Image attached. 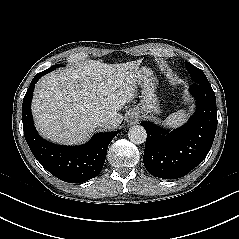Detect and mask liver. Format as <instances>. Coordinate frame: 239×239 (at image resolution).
Listing matches in <instances>:
<instances>
[{
  "instance_id": "liver-1",
  "label": "liver",
  "mask_w": 239,
  "mask_h": 239,
  "mask_svg": "<svg viewBox=\"0 0 239 239\" xmlns=\"http://www.w3.org/2000/svg\"><path fill=\"white\" fill-rule=\"evenodd\" d=\"M140 62L87 60L44 76L32 100L39 133L52 142L81 143L99 126L100 116L111 119L110 124L100 127L116 129L123 121L118 111L134 98L137 84L144 78Z\"/></svg>"
}]
</instances>
